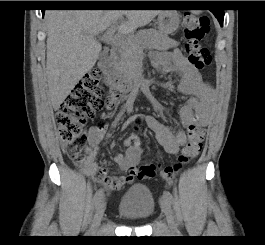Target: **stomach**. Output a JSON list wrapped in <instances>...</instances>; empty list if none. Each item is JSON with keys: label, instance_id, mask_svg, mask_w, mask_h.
Wrapping results in <instances>:
<instances>
[{"label": "stomach", "instance_id": "obj_1", "mask_svg": "<svg viewBox=\"0 0 265 245\" xmlns=\"http://www.w3.org/2000/svg\"><path fill=\"white\" fill-rule=\"evenodd\" d=\"M158 29L163 35L173 33L180 24V16L176 11H164L158 15Z\"/></svg>", "mask_w": 265, "mask_h": 245}]
</instances>
